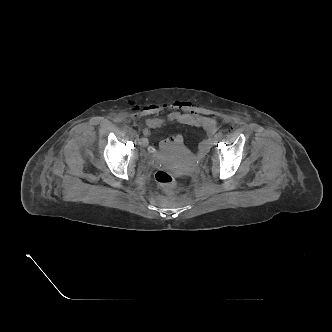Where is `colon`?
<instances>
[{
  "instance_id": "obj_1",
  "label": "colon",
  "mask_w": 332,
  "mask_h": 332,
  "mask_svg": "<svg viewBox=\"0 0 332 332\" xmlns=\"http://www.w3.org/2000/svg\"><path fill=\"white\" fill-rule=\"evenodd\" d=\"M155 180L168 192H173L177 186L174 176L166 170H158L155 173Z\"/></svg>"
}]
</instances>
